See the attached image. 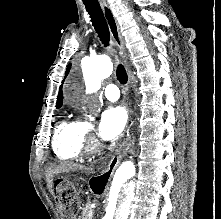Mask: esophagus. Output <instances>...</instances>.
<instances>
[{"label": "esophagus", "mask_w": 221, "mask_h": 219, "mask_svg": "<svg viewBox=\"0 0 221 219\" xmlns=\"http://www.w3.org/2000/svg\"><path fill=\"white\" fill-rule=\"evenodd\" d=\"M102 10H103L105 19L107 21L112 39L115 45L117 46L119 53L122 57V60H123V63H124V66L128 75V86L130 87V84L132 81V74H131V70L129 68L127 58L125 55V43H124L123 37L121 36L118 22L113 14L111 7L108 4L103 3Z\"/></svg>", "instance_id": "obj_1"}]
</instances>
